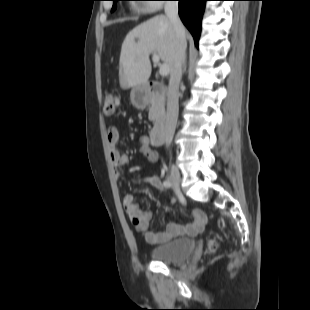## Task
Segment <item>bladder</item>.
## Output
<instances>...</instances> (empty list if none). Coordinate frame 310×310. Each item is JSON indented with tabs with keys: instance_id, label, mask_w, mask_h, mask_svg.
Wrapping results in <instances>:
<instances>
[{
	"instance_id": "31cf9c89",
	"label": "bladder",
	"mask_w": 310,
	"mask_h": 310,
	"mask_svg": "<svg viewBox=\"0 0 310 310\" xmlns=\"http://www.w3.org/2000/svg\"><path fill=\"white\" fill-rule=\"evenodd\" d=\"M195 241L189 238L171 240L150 250V257L157 262L179 263L187 260L195 250Z\"/></svg>"
}]
</instances>
